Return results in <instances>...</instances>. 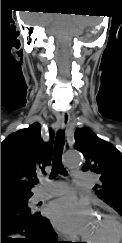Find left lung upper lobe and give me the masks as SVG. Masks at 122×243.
<instances>
[{
	"label": "left lung upper lobe",
	"mask_w": 122,
	"mask_h": 243,
	"mask_svg": "<svg viewBox=\"0 0 122 243\" xmlns=\"http://www.w3.org/2000/svg\"><path fill=\"white\" fill-rule=\"evenodd\" d=\"M74 137L75 148L86 158L83 171L100 175L96 195L122 216V154L89 128L77 129Z\"/></svg>",
	"instance_id": "left-lung-upper-lobe-1"
}]
</instances>
